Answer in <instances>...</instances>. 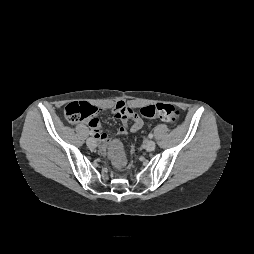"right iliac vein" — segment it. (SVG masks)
<instances>
[{"instance_id":"63e3f726","label":"right iliac vein","mask_w":254,"mask_h":254,"mask_svg":"<svg viewBox=\"0 0 254 254\" xmlns=\"http://www.w3.org/2000/svg\"><path fill=\"white\" fill-rule=\"evenodd\" d=\"M86 144L89 148H94L96 146V141L94 138H88Z\"/></svg>"}]
</instances>
